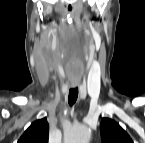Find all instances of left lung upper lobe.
Listing matches in <instances>:
<instances>
[{
    "instance_id": "5c2ea615",
    "label": "left lung upper lobe",
    "mask_w": 145,
    "mask_h": 143,
    "mask_svg": "<svg viewBox=\"0 0 145 143\" xmlns=\"http://www.w3.org/2000/svg\"><path fill=\"white\" fill-rule=\"evenodd\" d=\"M102 143H132V139L114 120L103 118L100 125Z\"/></svg>"
}]
</instances>
